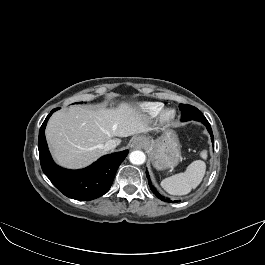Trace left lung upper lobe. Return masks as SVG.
<instances>
[{
	"instance_id": "obj_1",
	"label": "left lung upper lobe",
	"mask_w": 265,
	"mask_h": 265,
	"mask_svg": "<svg viewBox=\"0 0 265 265\" xmlns=\"http://www.w3.org/2000/svg\"><path fill=\"white\" fill-rule=\"evenodd\" d=\"M180 110L182 111L181 121H189L195 117L203 116V114L196 108L191 105H179Z\"/></svg>"
}]
</instances>
